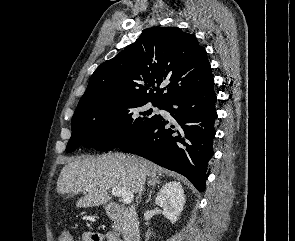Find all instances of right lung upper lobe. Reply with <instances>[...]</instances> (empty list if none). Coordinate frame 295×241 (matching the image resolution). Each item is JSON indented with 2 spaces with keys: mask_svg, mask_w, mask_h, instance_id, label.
I'll return each instance as SVG.
<instances>
[{
  "mask_svg": "<svg viewBox=\"0 0 295 241\" xmlns=\"http://www.w3.org/2000/svg\"><path fill=\"white\" fill-rule=\"evenodd\" d=\"M211 81L207 53L193 34L176 27H155L145 30L135 43L102 63L92 74L80 101L123 97L163 105Z\"/></svg>",
  "mask_w": 295,
  "mask_h": 241,
  "instance_id": "cb5924a9",
  "label": "right lung upper lobe"
}]
</instances>
